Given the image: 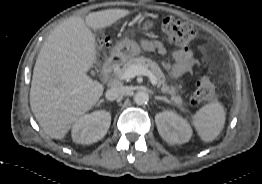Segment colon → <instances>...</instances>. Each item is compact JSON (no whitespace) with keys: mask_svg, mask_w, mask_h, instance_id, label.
Masks as SVG:
<instances>
[{"mask_svg":"<svg viewBox=\"0 0 262 184\" xmlns=\"http://www.w3.org/2000/svg\"><path fill=\"white\" fill-rule=\"evenodd\" d=\"M162 30L168 40L180 46H188L194 41L197 35L196 27L188 22L173 17H167L162 20ZM108 38H101L98 44L101 47L108 45ZM106 55L100 57V62L105 63ZM214 96V86L206 77H200L196 82V88L192 95L191 101L194 105L203 106L208 103Z\"/></svg>","mask_w":262,"mask_h":184,"instance_id":"colon-1","label":"colon"}]
</instances>
